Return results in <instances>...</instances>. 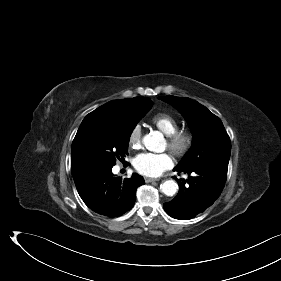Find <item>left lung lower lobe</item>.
<instances>
[{
	"label": "left lung lower lobe",
	"mask_w": 281,
	"mask_h": 281,
	"mask_svg": "<svg viewBox=\"0 0 281 281\" xmlns=\"http://www.w3.org/2000/svg\"><path fill=\"white\" fill-rule=\"evenodd\" d=\"M228 165L205 163L192 168L176 167L174 171L190 176L179 183V193L164 209L173 218L189 220L204 212L221 194ZM189 185L185 186V183Z\"/></svg>",
	"instance_id": "obj_1"
}]
</instances>
